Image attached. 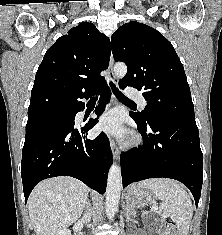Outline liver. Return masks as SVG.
<instances>
[{
    "mask_svg": "<svg viewBox=\"0 0 222 235\" xmlns=\"http://www.w3.org/2000/svg\"><path fill=\"white\" fill-rule=\"evenodd\" d=\"M88 187L71 177H55L36 185L28 199V210L36 235H57L81 216Z\"/></svg>",
    "mask_w": 222,
    "mask_h": 235,
    "instance_id": "liver-1",
    "label": "liver"
}]
</instances>
